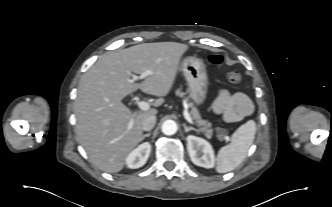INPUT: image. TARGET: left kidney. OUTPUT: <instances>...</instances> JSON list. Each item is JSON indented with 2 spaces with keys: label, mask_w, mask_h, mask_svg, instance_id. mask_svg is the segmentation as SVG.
<instances>
[{
  "label": "left kidney",
  "mask_w": 332,
  "mask_h": 207,
  "mask_svg": "<svg viewBox=\"0 0 332 207\" xmlns=\"http://www.w3.org/2000/svg\"><path fill=\"white\" fill-rule=\"evenodd\" d=\"M187 149L191 161L200 167L213 168L215 156L212 146L203 138L189 135L187 137Z\"/></svg>",
  "instance_id": "left-kidney-1"
}]
</instances>
